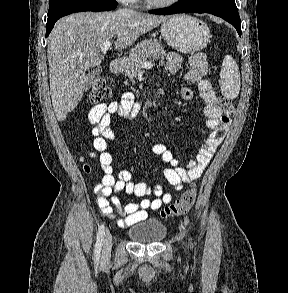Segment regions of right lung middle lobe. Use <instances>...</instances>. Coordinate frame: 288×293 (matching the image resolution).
Segmentation results:
<instances>
[{"label": "right lung middle lobe", "instance_id": "right-lung-middle-lobe-1", "mask_svg": "<svg viewBox=\"0 0 288 293\" xmlns=\"http://www.w3.org/2000/svg\"><path fill=\"white\" fill-rule=\"evenodd\" d=\"M81 3H92L102 6L118 5L116 0H50L48 16L66 7Z\"/></svg>", "mask_w": 288, "mask_h": 293}]
</instances>
